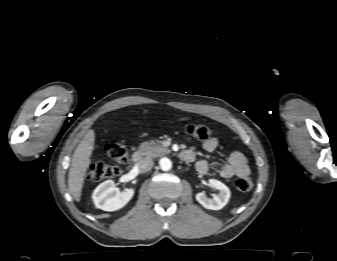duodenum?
<instances>
[{"label":"duodenum","instance_id":"410a0bca","mask_svg":"<svg viewBox=\"0 0 337 261\" xmlns=\"http://www.w3.org/2000/svg\"><path fill=\"white\" fill-rule=\"evenodd\" d=\"M181 159L186 160L188 156L185 153H181L180 155ZM143 156L141 152H135L132 156V161L134 164H138L141 162Z\"/></svg>","mask_w":337,"mask_h":261}]
</instances>
